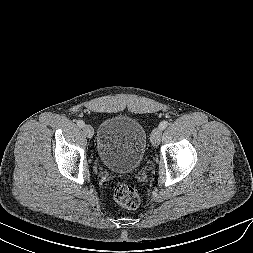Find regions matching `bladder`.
Instances as JSON below:
<instances>
[{"label":"bladder","mask_w":253,"mask_h":253,"mask_svg":"<svg viewBox=\"0 0 253 253\" xmlns=\"http://www.w3.org/2000/svg\"><path fill=\"white\" fill-rule=\"evenodd\" d=\"M147 145L143 125L128 115L104 119L96 135V154L102 165L118 173H131L142 163Z\"/></svg>","instance_id":"bladder-1"}]
</instances>
